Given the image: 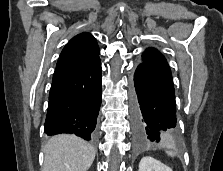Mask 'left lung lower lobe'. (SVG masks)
<instances>
[{
    "instance_id": "obj_1",
    "label": "left lung lower lobe",
    "mask_w": 223,
    "mask_h": 171,
    "mask_svg": "<svg viewBox=\"0 0 223 171\" xmlns=\"http://www.w3.org/2000/svg\"><path fill=\"white\" fill-rule=\"evenodd\" d=\"M133 134L136 145L178 138L172 74L164 56L146 49L132 79Z\"/></svg>"
}]
</instances>
